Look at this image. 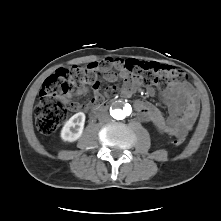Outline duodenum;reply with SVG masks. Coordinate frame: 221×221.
<instances>
[{
	"instance_id": "obj_1",
	"label": "duodenum",
	"mask_w": 221,
	"mask_h": 221,
	"mask_svg": "<svg viewBox=\"0 0 221 221\" xmlns=\"http://www.w3.org/2000/svg\"><path fill=\"white\" fill-rule=\"evenodd\" d=\"M109 106L108 102H99L96 107L94 108V111L92 113V116L95 117L98 112L106 109Z\"/></svg>"
}]
</instances>
